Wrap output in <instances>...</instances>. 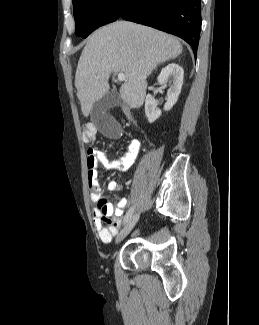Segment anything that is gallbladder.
<instances>
[{
	"label": "gallbladder",
	"mask_w": 259,
	"mask_h": 325,
	"mask_svg": "<svg viewBox=\"0 0 259 325\" xmlns=\"http://www.w3.org/2000/svg\"><path fill=\"white\" fill-rule=\"evenodd\" d=\"M121 102L120 95L117 91L107 92L100 100L93 104L91 117L93 123L101 131L102 136L108 139H121L122 133L119 121H115L112 115H108L107 111Z\"/></svg>",
	"instance_id": "bac80fb5"
}]
</instances>
